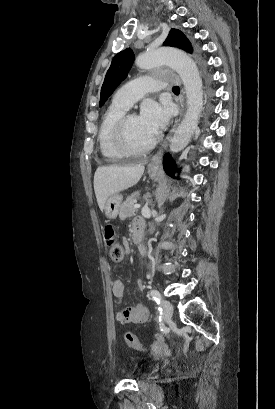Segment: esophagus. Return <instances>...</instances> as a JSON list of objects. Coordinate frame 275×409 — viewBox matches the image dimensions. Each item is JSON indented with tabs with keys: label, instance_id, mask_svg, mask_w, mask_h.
Returning a JSON list of instances; mask_svg holds the SVG:
<instances>
[{
	"label": "esophagus",
	"instance_id": "34e87169",
	"mask_svg": "<svg viewBox=\"0 0 275 409\" xmlns=\"http://www.w3.org/2000/svg\"><path fill=\"white\" fill-rule=\"evenodd\" d=\"M184 113V107L182 106L181 108V115ZM177 122L175 123L174 127H176ZM174 128H172L169 132V134L167 135V137L164 140V143L162 144V146L160 147V149L158 150V152L154 155V159H161L164 150L168 147L169 141L172 138L173 132H174Z\"/></svg>",
	"mask_w": 275,
	"mask_h": 409
}]
</instances>
